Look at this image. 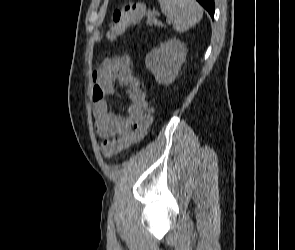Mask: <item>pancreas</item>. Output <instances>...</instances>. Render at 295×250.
Returning <instances> with one entry per match:
<instances>
[{
    "mask_svg": "<svg viewBox=\"0 0 295 250\" xmlns=\"http://www.w3.org/2000/svg\"><path fill=\"white\" fill-rule=\"evenodd\" d=\"M156 12L154 11H148L147 13V25H153V24H159V22L157 21V19L155 18L156 16Z\"/></svg>",
    "mask_w": 295,
    "mask_h": 250,
    "instance_id": "pancreas-1",
    "label": "pancreas"
}]
</instances>
